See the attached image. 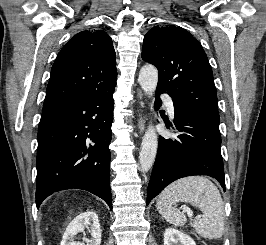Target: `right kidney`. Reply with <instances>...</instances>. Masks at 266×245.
<instances>
[{"label": "right kidney", "instance_id": "right-kidney-1", "mask_svg": "<svg viewBox=\"0 0 266 245\" xmlns=\"http://www.w3.org/2000/svg\"><path fill=\"white\" fill-rule=\"evenodd\" d=\"M73 245H83V243H77L75 241L78 233H84V229H88L91 239L86 241L87 245H100L101 243V229L99 225L98 215L94 211H86V213H80L73 221Z\"/></svg>", "mask_w": 266, "mask_h": 245}]
</instances>
